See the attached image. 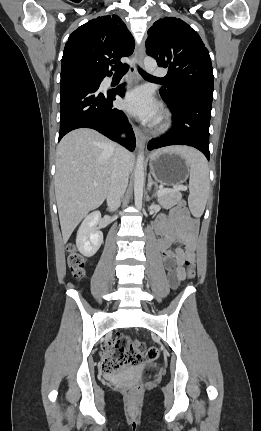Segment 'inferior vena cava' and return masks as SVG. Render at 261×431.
Masks as SVG:
<instances>
[{
	"label": "inferior vena cava",
	"mask_w": 261,
	"mask_h": 431,
	"mask_svg": "<svg viewBox=\"0 0 261 431\" xmlns=\"http://www.w3.org/2000/svg\"><path fill=\"white\" fill-rule=\"evenodd\" d=\"M128 151L118 146L114 157V167L111 183L107 194V205L111 212L116 211L128 184V170L126 167V156Z\"/></svg>",
	"instance_id": "1"
}]
</instances>
